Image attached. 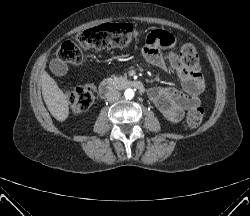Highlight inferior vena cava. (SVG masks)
I'll return each instance as SVG.
<instances>
[{"instance_id": "obj_1", "label": "inferior vena cava", "mask_w": 250, "mask_h": 216, "mask_svg": "<svg viewBox=\"0 0 250 216\" xmlns=\"http://www.w3.org/2000/svg\"><path fill=\"white\" fill-rule=\"evenodd\" d=\"M121 94L119 91L117 90H110L108 93H107V101L108 102H115V101H118L119 98H120Z\"/></svg>"}]
</instances>
